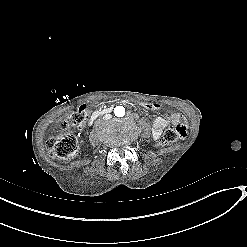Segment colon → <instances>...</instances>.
<instances>
[{"instance_id":"5ec220e1","label":"colon","mask_w":247,"mask_h":247,"mask_svg":"<svg viewBox=\"0 0 247 247\" xmlns=\"http://www.w3.org/2000/svg\"><path fill=\"white\" fill-rule=\"evenodd\" d=\"M142 106L146 110L156 112L160 109L159 101L146 99ZM89 110L86 105H81L62 123V133L50 136L46 141V149L57 159L67 160L77 154V137L75 129L81 126L88 118ZM187 130L183 124L168 128L163 135V142L167 145L186 137Z\"/></svg>"}]
</instances>
